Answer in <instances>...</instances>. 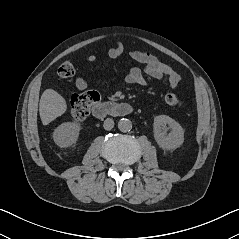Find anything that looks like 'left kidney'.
<instances>
[{
  "mask_svg": "<svg viewBox=\"0 0 239 239\" xmlns=\"http://www.w3.org/2000/svg\"><path fill=\"white\" fill-rule=\"evenodd\" d=\"M168 129L170 132L167 134ZM153 133L155 141L164 150H175L184 142L182 126L167 115H159L154 118Z\"/></svg>",
  "mask_w": 239,
  "mask_h": 239,
  "instance_id": "5707ae66",
  "label": "left kidney"
}]
</instances>
